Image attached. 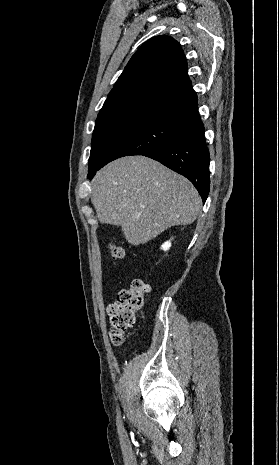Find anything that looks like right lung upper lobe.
<instances>
[{"instance_id": "right-lung-upper-lobe-1", "label": "right lung upper lobe", "mask_w": 279, "mask_h": 465, "mask_svg": "<svg viewBox=\"0 0 279 465\" xmlns=\"http://www.w3.org/2000/svg\"><path fill=\"white\" fill-rule=\"evenodd\" d=\"M197 110V95L180 44L169 36H156L131 57L100 110L95 128L135 120L179 124Z\"/></svg>"}]
</instances>
